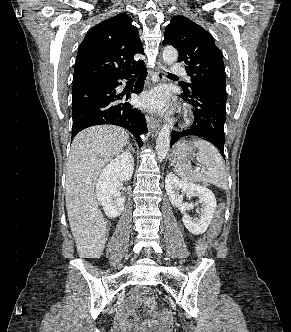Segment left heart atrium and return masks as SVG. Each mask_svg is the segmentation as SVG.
Wrapping results in <instances>:
<instances>
[{
    "label": "left heart atrium",
    "mask_w": 291,
    "mask_h": 332,
    "mask_svg": "<svg viewBox=\"0 0 291 332\" xmlns=\"http://www.w3.org/2000/svg\"><path fill=\"white\" fill-rule=\"evenodd\" d=\"M139 101L143 107L163 111L170 103V96L165 89L161 88L144 94Z\"/></svg>",
    "instance_id": "39dd6f15"
}]
</instances>
